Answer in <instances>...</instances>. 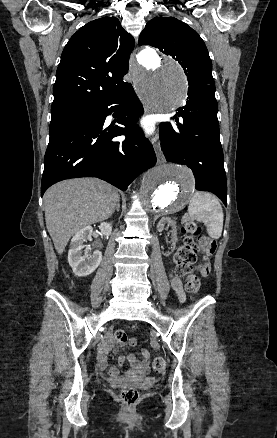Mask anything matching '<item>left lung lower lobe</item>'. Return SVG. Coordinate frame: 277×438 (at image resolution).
Returning <instances> with one entry per match:
<instances>
[{
    "mask_svg": "<svg viewBox=\"0 0 277 438\" xmlns=\"http://www.w3.org/2000/svg\"><path fill=\"white\" fill-rule=\"evenodd\" d=\"M217 109L213 97H189L186 105L173 117L178 128L163 122L159 134L166 160L191 168L196 189L214 193L226 206L227 183Z\"/></svg>",
    "mask_w": 277,
    "mask_h": 438,
    "instance_id": "1",
    "label": "left lung lower lobe"
}]
</instances>
